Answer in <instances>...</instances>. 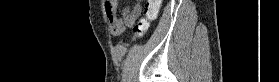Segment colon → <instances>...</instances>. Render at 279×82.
Listing matches in <instances>:
<instances>
[{
  "mask_svg": "<svg viewBox=\"0 0 279 82\" xmlns=\"http://www.w3.org/2000/svg\"><path fill=\"white\" fill-rule=\"evenodd\" d=\"M162 3V0H147L145 8V17L140 19L133 26L132 40L141 37L148 29L149 23L157 16L158 9Z\"/></svg>",
  "mask_w": 279,
  "mask_h": 82,
  "instance_id": "5ec220e1",
  "label": "colon"
}]
</instances>
